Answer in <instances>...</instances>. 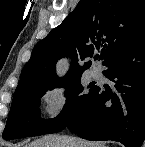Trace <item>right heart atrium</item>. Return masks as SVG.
Here are the masks:
<instances>
[{"label":"right heart atrium","mask_w":145,"mask_h":147,"mask_svg":"<svg viewBox=\"0 0 145 147\" xmlns=\"http://www.w3.org/2000/svg\"><path fill=\"white\" fill-rule=\"evenodd\" d=\"M71 98V90L65 85H55L42 94L43 111L49 121H56L66 112Z\"/></svg>","instance_id":"d8ad5b80"}]
</instances>
